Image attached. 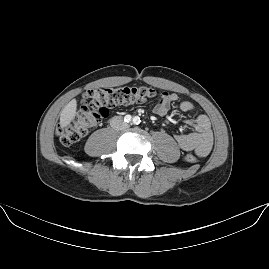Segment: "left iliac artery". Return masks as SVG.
Segmentation results:
<instances>
[{
  "label": "left iliac artery",
  "mask_w": 269,
  "mask_h": 269,
  "mask_svg": "<svg viewBox=\"0 0 269 269\" xmlns=\"http://www.w3.org/2000/svg\"><path fill=\"white\" fill-rule=\"evenodd\" d=\"M140 122H141V120H140V118H139L138 116H135V117L133 118V123H134L135 125L140 124Z\"/></svg>",
  "instance_id": "44dca946"
}]
</instances>
